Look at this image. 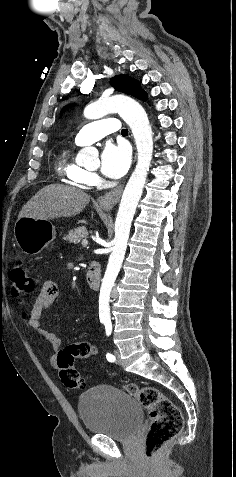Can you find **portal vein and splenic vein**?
Instances as JSON below:
<instances>
[{
    "mask_svg": "<svg viewBox=\"0 0 236 477\" xmlns=\"http://www.w3.org/2000/svg\"><path fill=\"white\" fill-rule=\"evenodd\" d=\"M82 246H87L88 245V240L87 239H84L82 240Z\"/></svg>",
    "mask_w": 236,
    "mask_h": 477,
    "instance_id": "1",
    "label": "portal vein and splenic vein"
}]
</instances>
